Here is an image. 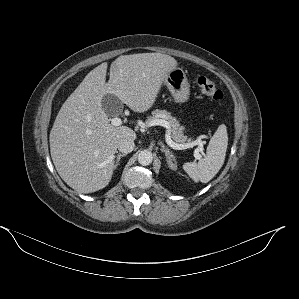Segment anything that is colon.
Listing matches in <instances>:
<instances>
[{
	"label": "colon",
	"mask_w": 299,
	"mask_h": 299,
	"mask_svg": "<svg viewBox=\"0 0 299 299\" xmlns=\"http://www.w3.org/2000/svg\"><path fill=\"white\" fill-rule=\"evenodd\" d=\"M194 82L200 91L208 98L214 101H219L223 98V92L209 77L199 74L195 76Z\"/></svg>",
	"instance_id": "1"
}]
</instances>
